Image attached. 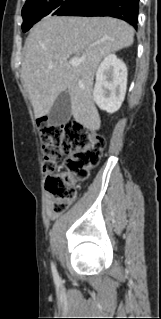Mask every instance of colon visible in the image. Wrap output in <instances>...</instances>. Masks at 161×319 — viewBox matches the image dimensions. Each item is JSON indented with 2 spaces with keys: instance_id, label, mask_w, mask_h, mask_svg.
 I'll return each mask as SVG.
<instances>
[{
  "instance_id": "1",
  "label": "colon",
  "mask_w": 161,
  "mask_h": 319,
  "mask_svg": "<svg viewBox=\"0 0 161 319\" xmlns=\"http://www.w3.org/2000/svg\"><path fill=\"white\" fill-rule=\"evenodd\" d=\"M43 151L45 186L51 195L52 212L61 214L75 201L80 182L86 180L105 147L103 137L78 122H46L39 124ZM63 154L68 157L61 170L56 164Z\"/></svg>"
}]
</instances>
